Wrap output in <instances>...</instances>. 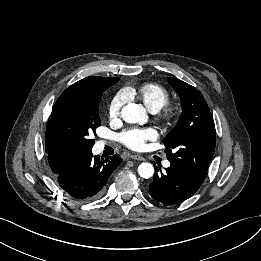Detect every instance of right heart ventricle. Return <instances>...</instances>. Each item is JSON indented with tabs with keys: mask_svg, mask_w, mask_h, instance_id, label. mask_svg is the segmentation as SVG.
Instances as JSON below:
<instances>
[{
	"mask_svg": "<svg viewBox=\"0 0 261 261\" xmlns=\"http://www.w3.org/2000/svg\"><path fill=\"white\" fill-rule=\"evenodd\" d=\"M126 95L137 97L148 110L152 113H157L168 101L169 92L161 85L148 83L137 89H125Z\"/></svg>",
	"mask_w": 261,
	"mask_h": 261,
	"instance_id": "obj_1",
	"label": "right heart ventricle"
}]
</instances>
